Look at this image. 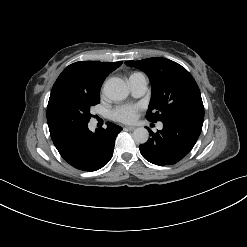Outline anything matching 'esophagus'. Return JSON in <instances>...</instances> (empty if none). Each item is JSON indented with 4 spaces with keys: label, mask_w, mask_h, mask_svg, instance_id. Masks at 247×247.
Segmentation results:
<instances>
[{
    "label": "esophagus",
    "mask_w": 247,
    "mask_h": 247,
    "mask_svg": "<svg viewBox=\"0 0 247 247\" xmlns=\"http://www.w3.org/2000/svg\"><path fill=\"white\" fill-rule=\"evenodd\" d=\"M135 126H125L124 127V130H129V131H133V130H135Z\"/></svg>",
    "instance_id": "obj_1"
}]
</instances>
